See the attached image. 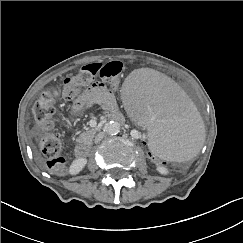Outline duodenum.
Listing matches in <instances>:
<instances>
[{
	"label": "duodenum",
	"mask_w": 243,
	"mask_h": 243,
	"mask_svg": "<svg viewBox=\"0 0 243 243\" xmlns=\"http://www.w3.org/2000/svg\"><path fill=\"white\" fill-rule=\"evenodd\" d=\"M113 119L118 122H124V118L120 114L113 115ZM75 152L79 157L86 156L88 152V145L86 143H78L75 147Z\"/></svg>",
	"instance_id": "obj_1"
}]
</instances>
